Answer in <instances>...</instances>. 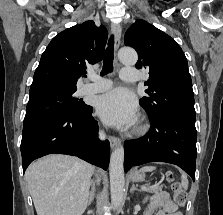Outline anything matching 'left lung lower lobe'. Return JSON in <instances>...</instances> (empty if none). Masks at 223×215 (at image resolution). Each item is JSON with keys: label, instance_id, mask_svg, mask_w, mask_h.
Instances as JSON below:
<instances>
[{"label": "left lung lower lobe", "instance_id": "left-lung-lower-lobe-1", "mask_svg": "<svg viewBox=\"0 0 223 215\" xmlns=\"http://www.w3.org/2000/svg\"><path fill=\"white\" fill-rule=\"evenodd\" d=\"M151 128L147 135L125 141L124 171L148 162H167L178 165L193 181L196 169L195 118L162 114L149 115Z\"/></svg>", "mask_w": 223, "mask_h": 215}]
</instances>
